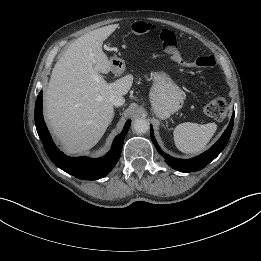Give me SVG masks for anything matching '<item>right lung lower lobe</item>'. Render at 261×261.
Returning <instances> with one entry per match:
<instances>
[{"instance_id": "obj_1", "label": "right lung lower lobe", "mask_w": 261, "mask_h": 261, "mask_svg": "<svg viewBox=\"0 0 261 261\" xmlns=\"http://www.w3.org/2000/svg\"><path fill=\"white\" fill-rule=\"evenodd\" d=\"M131 120L127 121L122 133L114 139L111 150L102 158L68 157L55 146L45 125L42 115V91L38 94L35 104V125L45 151L51 161L63 171L83 180H97L105 177L120 158Z\"/></svg>"}]
</instances>
